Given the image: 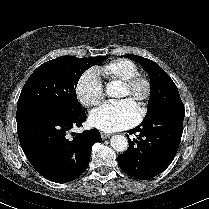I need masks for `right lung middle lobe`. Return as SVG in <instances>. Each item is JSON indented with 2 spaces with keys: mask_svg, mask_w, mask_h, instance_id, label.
<instances>
[{
  "mask_svg": "<svg viewBox=\"0 0 209 209\" xmlns=\"http://www.w3.org/2000/svg\"><path fill=\"white\" fill-rule=\"evenodd\" d=\"M107 56H61L40 65L25 83L17 104V124L50 111L82 110L75 87L81 75Z\"/></svg>",
  "mask_w": 209,
  "mask_h": 209,
  "instance_id": "1",
  "label": "right lung middle lobe"
}]
</instances>
